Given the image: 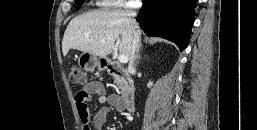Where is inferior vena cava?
Returning <instances> with one entry per match:
<instances>
[{
  "label": "inferior vena cava",
  "mask_w": 257,
  "mask_h": 130,
  "mask_svg": "<svg viewBox=\"0 0 257 130\" xmlns=\"http://www.w3.org/2000/svg\"><path fill=\"white\" fill-rule=\"evenodd\" d=\"M126 15L130 18L131 35H132V37H131V53H130V57H129L128 69L133 70L134 69V61L137 56V50L140 47L141 32H140V29H139V26H138L136 20L134 19V17L136 16V12H134L132 10H127Z\"/></svg>",
  "instance_id": "obj_1"
}]
</instances>
